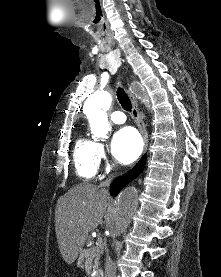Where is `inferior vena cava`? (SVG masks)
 <instances>
[{
  "instance_id": "obj_1",
  "label": "inferior vena cava",
  "mask_w": 221,
  "mask_h": 277,
  "mask_svg": "<svg viewBox=\"0 0 221 277\" xmlns=\"http://www.w3.org/2000/svg\"><path fill=\"white\" fill-rule=\"evenodd\" d=\"M112 179L113 175L100 184V187L103 191L107 192L106 188L109 187ZM105 277H116V265L115 262L109 256V254L107 255L105 264Z\"/></svg>"
}]
</instances>
